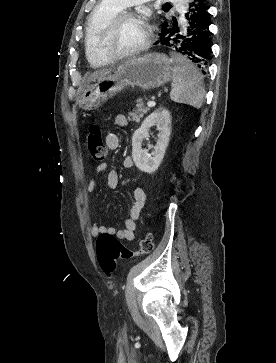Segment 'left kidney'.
I'll list each match as a JSON object with an SVG mask.
<instances>
[{
	"label": "left kidney",
	"mask_w": 276,
	"mask_h": 363,
	"mask_svg": "<svg viewBox=\"0 0 276 363\" xmlns=\"http://www.w3.org/2000/svg\"><path fill=\"white\" fill-rule=\"evenodd\" d=\"M156 125L159 131L157 142L154 146L149 145L154 151L149 154L148 150L142 149V142L149 135V130ZM171 134V116L167 109L159 108L151 113L142 122L132 137V158L136 167L146 173L155 172L160 166Z\"/></svg>",
	"instance_id": "obj_1"
}]
</instances>
